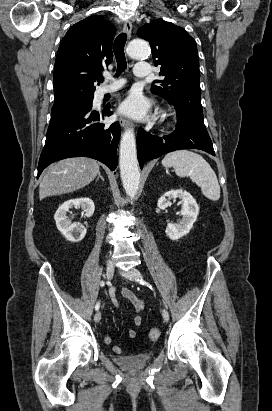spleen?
I'll use <instances>...</instances> for the list:
<instances>
[{
	"label": "spleen",
	"mask_w": 272,
	"mask_h": 411,
	"mask_svg": "<svg viewBox=\"0 0 272 411\" xmlns=\"http://www.w3.org/2000/svg\"><path fill=\"white\" fill-rule=\"evenodd\" d=\"M162 165L173 167L179 177L189 176L201 188L206 198L219 200L220 186L217 176L201 155L188 150L174 151L163 158Z\"/></svg>",
	"instance_id": "3e777b00"
}]
</instances>
